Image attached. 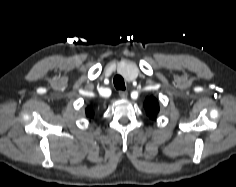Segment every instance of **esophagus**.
I'll return each mask as SVG.
<instances>
[{
    "label": "esophagus",
    "instance_id": "obj_1",
    "mask_svg": "<svg viewBox=\"0 0 236 187\" xmlns=\"http://www.w3.org/2000/svg\"><path fill=\"white\" fill-rule=\"evenodd\" d=\"M119 96L121 99H127L128 93L126 91H119Z\"/></svg>",
    "mask_w": 236,
    "mask_h": 187
}]
</instances>
